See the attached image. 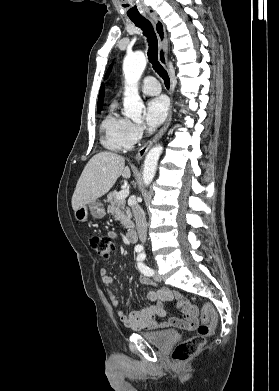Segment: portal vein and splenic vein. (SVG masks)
<instances>
[{"mask_svg": "<svg viewBox=\"0 0 279 391\" xmlns=\"http://www.w3.org/2000/svg\"><path fill=\"white\" fill-rule=\"evenodd\" d=\"M128 195H129V189H123L116 194V198L119 200H123L127 198Z\"/></svg>", "mask_w": 279, "mask_h": 391, "instance_id": "18ae733b", "label": "portal vein and splenic vein"}]
</instances>
